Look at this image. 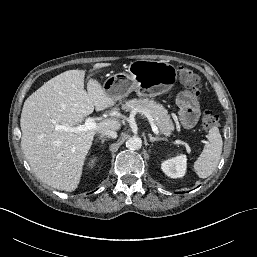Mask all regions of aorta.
<instances>
[{
	"instance_id": "1",
	"label": "aorta",
	"mask_w": 257,
	"mask_h": 257,
	"mask_svg": "<svg viewBox=\"0 0 257 257\" xmlns=\"http://www.w3.org/2000/svg\"><path fill=\"white\" fill-rule=\"evenodd\" d=\"M142 146L141 138L133 136L126 141V147L130 150H138Z\"/></svg>"
}]
</instances>
